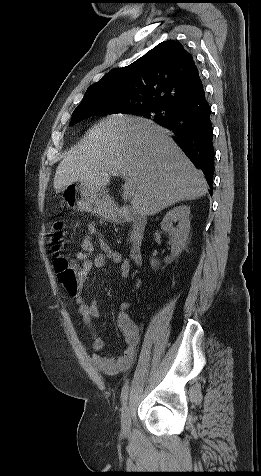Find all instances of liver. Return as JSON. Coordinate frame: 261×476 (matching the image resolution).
I'll use <instances>...</instances> for the list:
<instances>
[{
	"instance_id": "6515ba94",
	"label": "liver",
	"mask_w": 261,
	"mask_h": 476,
	"mask_svg": "<svg viewBox=\"0 0 261 476\" xmlns=\"http://www.w3.org/2000/svg\"><path fill=\"white\" fill-rule=\"evenodd\" d=\"M133 183L135 213L151 216L184 200L204 196L208 185L168 131L151 120L116 114L89 129L56 169L54 188L84 182L110 183V172Z\"/></svg>"
}]
</instances>
